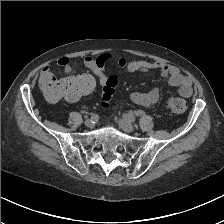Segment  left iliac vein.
I'll list each match as a JSON object with an SVG mask.
<instances>
[{
	"label": "left iliac vein",
	"instance_id": "left-iliac-vein-1",
	"mask_svg": "<svg viewBox=\"0 0 224 224\" xmlns=\"http://www.w3.org/2000/svg\"><path fill=\"white\" fill-rule=\"evenodd\" d=\"M118 124L120 128L127 133H131L134 131V126L126 119H120L118 121Z\"/></svg>",
	"mask_w": 224,
	"mask_h": 224
}]
</instances>
